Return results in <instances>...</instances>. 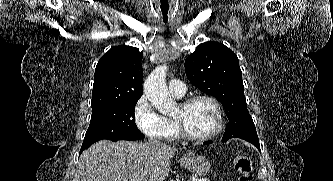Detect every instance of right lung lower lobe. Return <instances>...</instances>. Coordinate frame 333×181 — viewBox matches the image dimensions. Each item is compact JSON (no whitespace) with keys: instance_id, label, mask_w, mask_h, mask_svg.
<instances>
[{"instance_id":"obj_1","label":"right lung lower lobe","mask_w":333,"mask_h":181,"mask_svg":"<svg viewBox=\"0 0 333 181\" xmlns=\"http://www.w3.org/2000/svg\"><path fill=\"white\" fill-rule=\"evenodd\" d=\"M91 145V144H90ZM90 145L87 146H82L81 150H80V154L82 153L83 150H85L86 148H88Z\"/></svg>"}]
</instances>
